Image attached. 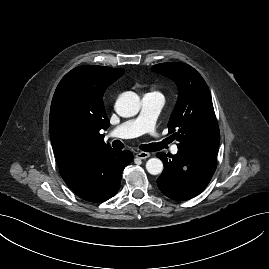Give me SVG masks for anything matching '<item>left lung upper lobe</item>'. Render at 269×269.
<instances>
[{
	"label": "left lung upper lobe",
	"instance_id": "obj_1",
	"mask_svg": "<svg viewBox=\"0 0 269 269\" xmlns=\"http://www.w3.org/2000/svg\"><path fill=\"white\" fill-rule=\"evenodd\" d=\"M152 69L178 86V100L168 123L169 133L179 142L178 148L199 150L219 146L212 98L201 75L191 66L176 62L160 63Z\"/></svg>",
	"mask_w": 269,
	"mask_h": 269
}]
</instances>
